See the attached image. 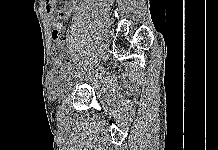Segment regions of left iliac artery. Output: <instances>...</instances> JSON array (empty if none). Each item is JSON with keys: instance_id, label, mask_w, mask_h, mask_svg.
<instances>
[{"instance_id": "1", "label": "left iliac artery", "mask_w": 218, "mask_h": 150, "mask_svg": "<svg viewBox=\"0 0 218 150\" xmlns=\"http://www.w3.org/2000/svg\"><path fill=\"white\" fill-rule=\"evenodd\" d=\"M65 76H71L72 75V72L71 71H65Z\"/></svg>"}]
</instances>
